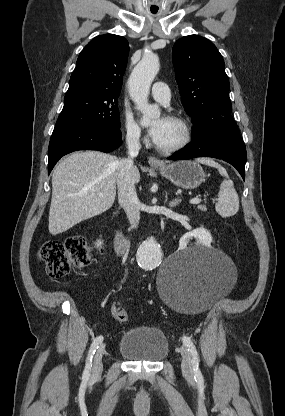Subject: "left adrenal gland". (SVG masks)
Wrapping results in <instances>:
<instances>
[{"mask_svg":"<svg viewBox=\"0 0 285 416\" xmlns=\"http://www.w3.org/2000/svg\"><path fill=\"white\" fill-rule=\"evenodd\" d=\"M165 198H166L165 202H167V200H168L167 192H166ZM180 202H182V200H179V198H176V200H173V202H170L169 206H170V208H174V206H178V204H180Z\"/></svg>","mask_w":285,"mask_h":416,"instance_id":"left-adrenal-gland-1","label":"left adrenal gland"}]
</instances>
